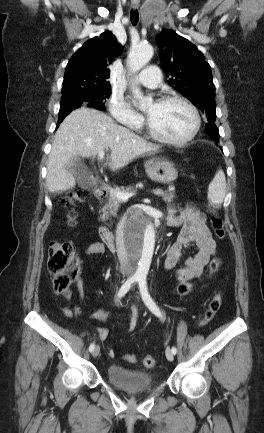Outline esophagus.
I'll return each mask as SVG.
<instances>
[{"mask_svg":"<svg viewBox=\"0 0 264 433\" xmlns=\"http://www.w3.org/2000/svg\"><path fill=\"white\" fill-rule=\"evenodd\" d=\"M138 5H139L138 0H132V6H133L134 8H137Z\"/></svg>","mask_w":264,"mask_h":433,"instance_id":"obj_1","label":"esophagus"}]
</instances>
